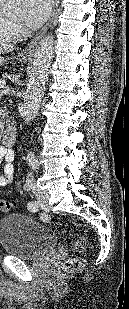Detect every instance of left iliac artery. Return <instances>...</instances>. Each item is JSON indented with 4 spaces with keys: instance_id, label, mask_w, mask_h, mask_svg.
<instances>
[{
    "instance_id": "obj_1",
    "label": "left iliac artery",
    "mask_w": 129,
    "mask_h": 309,
    "mask_svg": "<svg viewBox=\"0 0 129 309\" xmlns=\"http://www.w3.org/2000/svg\"><path fill=\"white\" fill-rule=\"evenodd\" d=\"M31 166H32L33 169H38L39 164L36 163V162H33V163H31ZM31 188H32V187H31ZM28 209H29L30 211H32V212H35V211L38 210V207H37L36 203H32V202H31V203H28ZM41 219H43V220H48V216H47L46 214H42Z\"/></svg>"
}]
</instances>
